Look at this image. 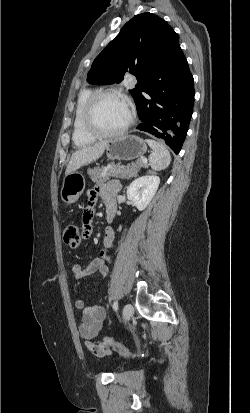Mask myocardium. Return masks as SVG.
<instances>
[{"label":"myocardium","mask_w":250,"mask_h":413,"mask_svg":"<svg viewBox=\"0 0 250 413\" xmlns=\"http://www.w3.org/2000/svg\"><path fill=\"white\" fill-rule=\"evenodd\" d=\"M107 96L117 97L124 100L126 103L127 100L125 96L118 90L114 89H101L92 93V95L88 98L82 114V126L84 131L95 139H108V138H115L118 136L123 135L126 133L130 127L133 125L135 121V110L134 108L128 103L130 109V119L129 122L119 130L106 132L98 128L94 120V111L98 101Z\"/></svg>","instance_id":"f54148a6"}]
</instances>
